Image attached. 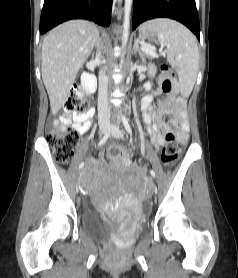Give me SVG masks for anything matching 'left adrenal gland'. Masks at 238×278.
<instances>
[{
  "label": "left adrenal gland",
  "mask_w": 238,
  "mask_h": 278,
  "mask_svg": "<svg viewBox=\"0 0 238 278\" xmlns=\"http://www.w3.org/2000/svg\"><path fill=\"white\" fill-rule=\"evenodd\" d=\"M133 49H134V53L138 52L139 55H140L141 60L144 61V54H143V52H142V50L139 46V39L138 38L135 39Z\"/></svg>",
  "instance_id": "obj_1"
}]
</instances>
